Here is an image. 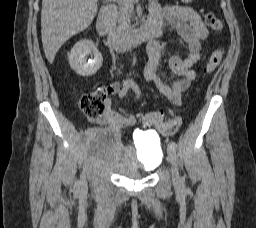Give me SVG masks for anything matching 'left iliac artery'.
Returning a JSON list of instances; mask_svg holds the SVG:
<instances>
[{"label":"left iliac artery","mask_w":256,"mask_h":228,"mask_svg":"<svg viewBox=\"0 0 256 228\" xmlns=\"http://www.w3.org/2000/svg\"><path fill=\"white\" fill-rule=\"evenodd\" d=\"M169 145L173 147L174 149H177V144L175 141H170Z\"/></svg>","instance_id":"left-iliac-artery-1"}]
</instances>
